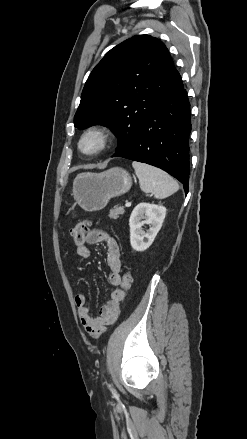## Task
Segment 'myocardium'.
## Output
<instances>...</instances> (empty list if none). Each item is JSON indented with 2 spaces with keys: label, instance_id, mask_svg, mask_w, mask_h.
I'll return each mask as SVG.
<instances>
[{
  "label": "myocardium",
  "instance_id": "myocardium-1",
  "mask_svg": "<svg viewBox=\"0 0 247 439\" xmlns=\"http://www.w3.org/2000/svg\"><path fill=\"white\" fill-rule=\"evenodd\" d=\"M92 135L97 136L99 138V144L95 149L91 151H86L82 146L83 142L87 137ZM112 139H113V133L110 127L102 123H97L90 125L82 132V134L79 137L77 146L82 154L86 156H93L104 151L110 145Z\"/></svg>",
  "mask_w": 247,
  "mask_h": 439
}]
</instances>
